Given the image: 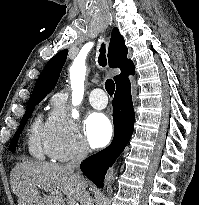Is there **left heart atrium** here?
I'll return each instance as SVG.
<instances>
[{"label":"left heart atrium","mask_w":199,"mask_h":205,"mask_svg":"<svg viewBox=\"0 0 199 205\" xmlns=\"http://www.w3.org/2000/svg\"><path fill=\"white\" fill-rule=\"evenodd\" d=\"M85 133L93 147H102L110 141L113 129L107 116L102 113H92L85 121Z\"/></svg>","instance_id":"obj_1"}]
</instances>
